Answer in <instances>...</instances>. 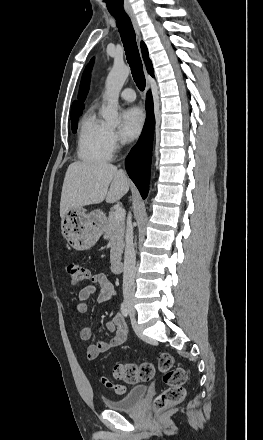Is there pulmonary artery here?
Masks as SVG:
<instances>
[{
    "instance_id": "e3ab8cb5",
    "label": "pulmonary artery",
    "mask_w": 263,
    "mask_h": 440,
    "mask_svg": "<svg viewBox=\"0 0 263 440\" xmlns=\"http://www.w3.org/2000/svg\"><path fill=\"white\" fill-rule=\"evenodd\" d=\"M120 97L125 101L132 102L135 100L136 95L133 89L125 88L121 91Z\"/></svg>"
}]
</instances>
